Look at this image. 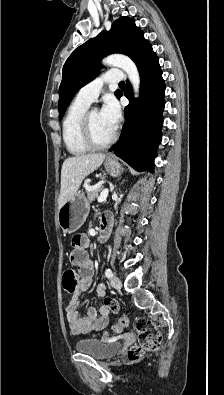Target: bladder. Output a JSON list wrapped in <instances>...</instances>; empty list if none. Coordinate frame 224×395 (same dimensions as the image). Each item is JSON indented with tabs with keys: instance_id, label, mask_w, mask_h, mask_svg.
Listing matches in <instances>:
<instances>
[{
	"instance_id": "obj_1",
	"label": "bladder",
	"mask_w": 224,
	"mask_h": 395,
	"mask_svg": "<svg viewBox=\"0 0 224 395\" xmlns=\"http://www.w3.org/2000/svg\"><path fill=\"white\" fill-rule=\"evenodd\" d=\"M76 350L90 355L94 359L106 360L115 356L119 351V347L116 342L83 338L76 342Z\"/></svg>"
}]
</instances>
